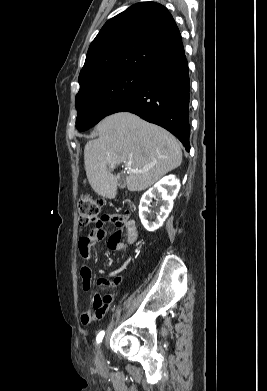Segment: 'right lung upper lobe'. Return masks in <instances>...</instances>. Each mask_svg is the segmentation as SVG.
<instances>
[{
	"label": "right lung upper lobe",
	"mask_w": 267,
	"mask_h": 391,
	"mask_svg": "<svg viewBox=\"0 0 267 391\" xmlns=\"http://www.w3.org/2000/svg\"><path fill=\"white\" fill-rule=\"evenodd\" d=\"M183 53L181 34L169 11L159 3H137L104 24L88 49L79 84L105 73H147Z\"/></svg>",
	"instance_id": "1"
}]
</instances>
